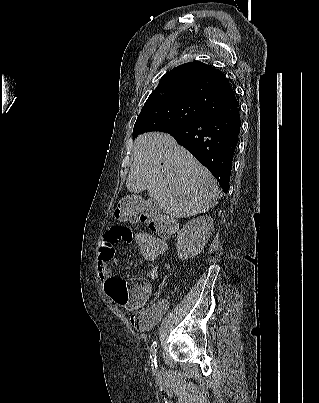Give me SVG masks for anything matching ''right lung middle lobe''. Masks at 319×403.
Segmentation results:
<instances>
[{
	"label": "right lung middle lobe",
	"mask_w": 319,
	"mask_h": 403,
	"mask_svg": "<svg viewBox=\"0 0 319 403\" xmlns=\"http://www.w3.org/2000/svg\"><path fill=\"white\" fill-rule=\"evenodd\" d=\"M209 113L207 108L193 103H160L144 107L134 125L133 139L145 132L192 123Z\"/></svg>",
	"instance_id": "right-lung-middle-lobe-1"
}]
</instances>
